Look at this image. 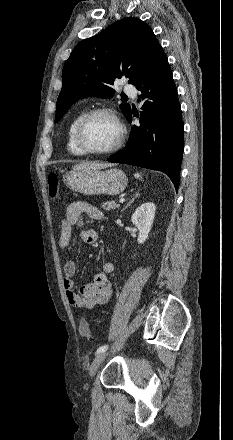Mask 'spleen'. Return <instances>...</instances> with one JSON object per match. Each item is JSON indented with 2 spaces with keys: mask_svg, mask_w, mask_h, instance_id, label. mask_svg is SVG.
I'll list each match as a JSON object with an SVG mask.
<instances>
[{
  "mask_svg": "<svg viewBox=\"0 0 233 440\" xmlns=\"http://www.w3.org/2000/svg\"><path fill=\"white\" fill-rule=\"evenodd\" d=\"M141 175L139 174V173H136L135 174V177H140Z\"/></svg>",
  "mask_w": 233,
  "mask_h": 440,
  "instance_id": "1",
  "label": "spleen"
}]
</instances>
